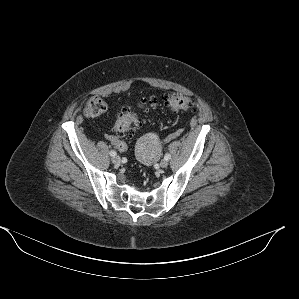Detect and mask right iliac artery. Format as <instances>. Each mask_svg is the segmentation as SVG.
<instances>
[{"label":"right iliac artery","instance_id":"1","mask_svg":"<svg viewBox=\"0 0 299 299\" xmlns=\"http://www.w3.org/2000/svg\"><path fill=\"white\" fill-rule=\"evenodd\" d=\"M109 154H110V156L114 157V156H116L117 153H116L115 151L112 150V151H110Z\"/></svg>","mask_w":299,"mask_h":299}]
</instances>
